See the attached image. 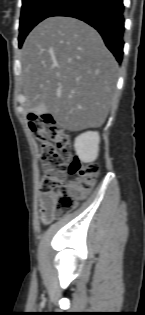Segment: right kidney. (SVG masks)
Instances as JSON below:
<instances>
[{"mask_svg": "<svg viewBox=\"0 0 145 315\" xmlns=\"http://www.w3.org/2000/svg\"><path fill=\"white\" fill-rule=\"evenodd\" d=\"M100 136L98 132L88 131L75 139V151L82 162L89 163L96 160L99 152Z\"/></svg>", "mask_w": 145, "mask_h": 315, "instance_id": "1", "label": "right kidney"}]
</instances>
